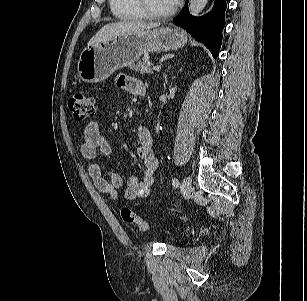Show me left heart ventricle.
<instances>
[{
    "label": "left heart ventricle",
    "mask_w": 307,
    "mask_h": 301,
    "mask_svg": "<svg viewBox=\"0 0 307 301\" xmlns=\"http://www.w3.org/2000/svg\"><path fill=\"white\" fill-rule=\"evenodd\" d=\"M151 9L158 13H164L169 11L173 4L171 0H147Z\"/></svg>",
    "instance_id": "b2bd125f"
}]
</instances>
